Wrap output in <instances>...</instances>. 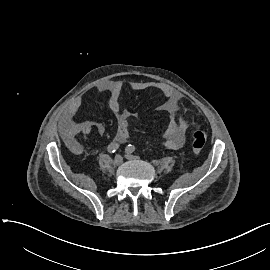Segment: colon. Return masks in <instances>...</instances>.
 <instances>
[{
  "mask_svg": "<svg viewBox=\"0 0 270 270\" xmlns=\"http://www.w3.org/2000/svg\"><path fill=\"white\" fill-rule=\"evenodd\" d=\"M187 118L192 120L194 118V113L189 112ZM206 135L203 130L195 129L192 133V149L195 152L201 151L206 145Z\"/></svg>",
  "mask_w": 270,
  "mask_h": 270,
  "instance_id": "obj_1",
  "label": "colon"
}]
</instances>
